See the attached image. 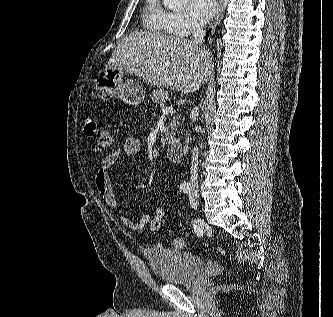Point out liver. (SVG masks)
<instances>
[{"label":"liver","mask_w":333,"mask_h":317,"mask_svg":"<svg viewBox=\"0 0 333 317\" xmlns=\"http://www.w3.org/2000/svg\"><path fill=\"white\" fill-rule=\"evenodd\" d=\"M212 67L210 52L184 37L134 31L117 45L105 69L188 94L210 78Z\"/></svg>","instance_id":"1"}]
</instances>
